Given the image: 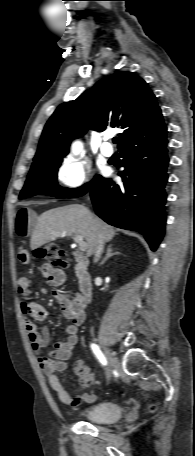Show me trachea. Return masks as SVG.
Segmentation results:
<instances>
[{
	"label": "trachea",
	"mask_w": 195,
	"mask_h": 456,
	"mask_svg": "<svg viewBox=\"0 0 195 456\" xmlns=\"http://www.w3.org/2000/svg\"><path fill=\"white\" fill-rule=\"evenodd\" d=\"M113 142H114V144H117L119 142V139L117 137H114Z\"/></svg>",
	"instance_id": "3493384b"
}]
</instances>
